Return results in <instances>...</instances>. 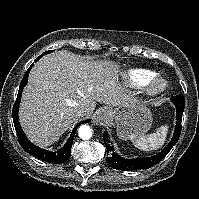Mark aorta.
Returning a JSON list of instances; mask_svg holds the SVG:
<instances>
[{
	"mask_svg": "<svg viewBox=\"0 0 199 199\" xmlns=\"http://www.w3.org/2000/svg\"><path fill=\"white\" fill-rule=\"evenodd\" d=\"M78 134L83 140L90 139L92 137V129L88 125H82L79 127Z\"/></svg>",
	"mask_w": 199,
	"mask_h": 199,
	"instance_id": "1",
	"label": "aorta"
}]
</instances>
